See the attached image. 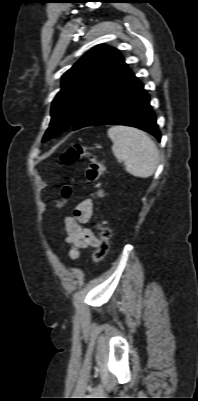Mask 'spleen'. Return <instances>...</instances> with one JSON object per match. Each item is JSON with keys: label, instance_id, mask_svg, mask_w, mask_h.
<instances>
[{"label": "spleen", "instance_id": "spleen-1", "mask_svg": "<svg viewBox=\"0 0 198 401\" xmlns=\"http://www.w3.org/2000/svg\"><path fill=\"white\" fill-rule=\"evenodd\" d=\"M113 142L112 151L118 161H124L125 170L139 178L152 176L159 163V151L154 141L143 131L125 126L108 130Z\"/></svg>", "mask_w": 198, "mask_h": 401}]
</instances>
